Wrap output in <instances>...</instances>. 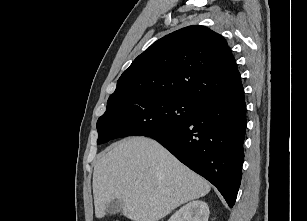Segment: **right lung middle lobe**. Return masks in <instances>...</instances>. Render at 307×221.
Listing matches in <instances>:
<instances>
[{
	"label": "right lung middle lobe",
	"instance_id": "dd1d6c3e",
	"mask_svg": "<svg viewBox=\"0 0 307 221\" xmlns=\"http://www.w3.org/2000/svg\"><path fill=\"white\" fill-rule=\"evenodd\" d=\"M199 104L164 95H139L107 104L97 121V144L125 136H152L188 121Z\"/></svg>",
	"mask_w": 307,
	"mask_h": 221
}]
</instances>
